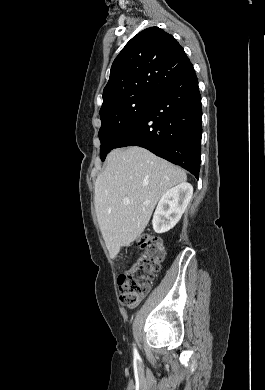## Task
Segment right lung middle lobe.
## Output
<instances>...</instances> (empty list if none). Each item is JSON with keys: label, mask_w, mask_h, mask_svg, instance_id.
Returning a JSON list of instances; mask_svg holds the SVG:
<instances>
[{"label": "right lung middle lobe", "mask_w": 265, "mask_h": 390, "mask_svg": "<svg viewBox=\"0 0 265 390\" xmlns=\"http://www.w3.org/2000/svg\"><path fill=\"white\" fill-rule=\"evenodd\" d=\"M155 95L136 94L100 109V156L104 161L130 127L145 113Z\"/></svg>", "instance_id": "dd1d6c3e"}]
</instances>
